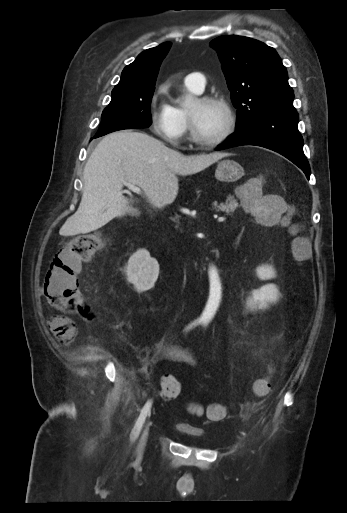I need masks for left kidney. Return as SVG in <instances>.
<instances>
[{
    "label": "left kidney",
    "mask_w": 347,
    "mask_h": 513,
    "mask_svg": "<svg viewBox=\"0 0 347 513\" xmlns=\"http://www.w3.org/2000/svg\"><path fill=\"white\" fill-rule=\"evenodd\" d=\"M257 275L260 279H271L276 277L274 269L268 265L257 268ZM279 299V291L274 284H267L260 289L252 291L247 300V306L252 309H267L270 304L276 303Z\"/></svg>",
    "instance_id": "5707ae66"
}]
</instances>
